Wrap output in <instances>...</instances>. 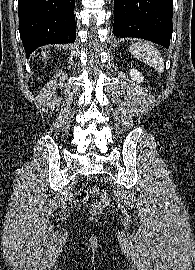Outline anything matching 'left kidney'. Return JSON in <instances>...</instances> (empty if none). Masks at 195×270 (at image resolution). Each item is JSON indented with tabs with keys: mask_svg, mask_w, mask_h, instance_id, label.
Returning <instances> with one entry per match:
<instances>
[{
	"mask_svg": "<svg viewBox=\"0 0 195 270\" xmlns=\"http://www.w3.org/2000/svg\"><path fill=\"white\" fill-rule=\"evenodd\" d=\"M130 76L132 80H135L138 83L143 82L144 80V77L142 76V74L136 69H130Z\"/></svg>",
	"mask_w": 195,
	"mask_h": 270,
	"instance_id": "1",
	"label": "left kidney"
}]
</instances>
